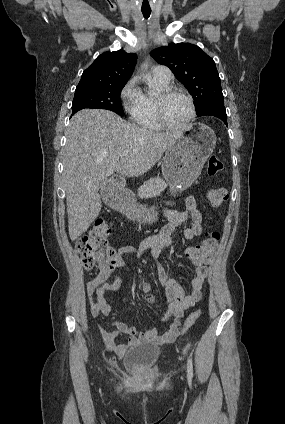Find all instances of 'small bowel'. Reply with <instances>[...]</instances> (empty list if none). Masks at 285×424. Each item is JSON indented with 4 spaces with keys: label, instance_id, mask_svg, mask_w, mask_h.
Returning a JSON list of instances; mask_svg holds the SVG:
<instances>
[{
    "label": "small bowel",
    "instance_id": "obj_1",
    "mask_svg": "<svg viewBox=\"0 0 285 424\" xmlns=\"http://www.w3.org/2000/svg\"><path fill=\"white\" fill-rule=\"evenodd\" d=\"M172 204L173 200L170 199L166 200L163 204L162 211L168 223L158 234L148 237L137 248L132 246L120 247L115 255V260L119 267H123L125 265L124 255L136 254L138 258H141L146 251H150L157 266L159 282L165 289L166 302L162 304L155 298L149 284L143 285L142 292L146 301L151 306L165 308L162 321L169 322L173 317L176 320L171 323L170 328L163 334H159L155 327L138 333L135 328L119 321L114 322L117 330L112 332L108 331L103 325L98 324V330L105 346L119 358H123L129 348L138 344L152 343L156 345H168L174 342L183 332L180 330V319L184 310L194 306L202 297V289L208 274L209 259L201 263H194L195 270L191 280V291L189 294L185 293L183 287L178 282L168 277L164 267L158 260L161 251L174 244L172 234L176 229L183 227L182 236L186 240H192L200 236L203 232L202 214L197 208L194 196L191 195L186 199V209L183 211L171 209ZM189 250L190 248L185 251L187 257ZM121 282L122 278L120 274H116L112 282H107V274L100 271L94 279L87 283L86 290L92 317L96 318L101 314L110 315L112 313V308L106 299V294L110 291H117L121 286ZM119 334H126L128 336L126 344L116 343L115 339Z\"/></svg>",
    "mask_w": 285,
    "mask_h": 424
}]
</instances>
